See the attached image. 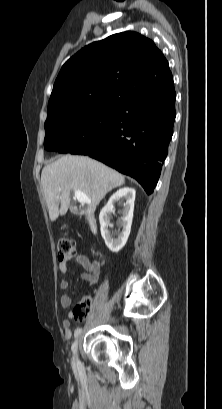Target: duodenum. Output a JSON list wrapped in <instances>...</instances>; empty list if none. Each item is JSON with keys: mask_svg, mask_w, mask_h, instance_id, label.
I'll return each mask as SVG.
<instances>
[{"mask_svg": "<svg viewBox=\"0 0 222 409\" xmlns=\"http://www.w3.org/2000/svg\"><path fill=\"white\" fill-rule=\"evenodd\" d=\"M90 227H91V230L93 232H96L95 225H94L93 221H90Z\"/></svg>", "mask_w": 222, "mask_h": 409, "instance_id": "410a0bca", "label": "duodenum"}]
</instances>
